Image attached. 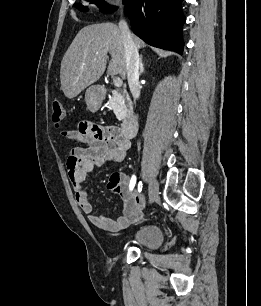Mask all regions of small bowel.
<instances>
[{
    "label": "small bowel",
    "instance_id": "small-bowel-1",
    "mask_svg": "<svg viewBox=\"0 0 261 306\" xmlns=\"http://www.w3.org/2000/svg\"><path fill=\"white\" fill-rule=\"evenodd\" d=\"M63 135L76 144L70 150L66 161L67 174L76 202L90 223L102 231L116 234L138 221L142 215L144 201L130 189L131 179L128 176L118 173L119 181L114 182L111 177L109 179V189L116 192L124 203L123 214L115 220L93 213V204L84 185L87 174L96 166L124 161L130 140L124 137L117 127L92 122H82L77 130L64 131Z\"/></svg>",
    "mask_w": 261,
    "mask_h": 306
}]
</instances>
